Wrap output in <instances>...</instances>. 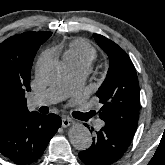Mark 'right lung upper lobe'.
Returning <instances> with one entry per match:
<instances>
[{
    "label": "right lung upper lobe",
    "mask_w": 165,
    "mask_h": 165,
    "mask_svg": "<svg viewBox=\"0 0 165 165\" xmlns=\"http://www.w3.org/2000/svg\"><path fill=\"white\" fill-rule=\"evenodd\" d=\"M51 34L26 32L0 44V129L31 114L25 98L30 91L31 67L40 45Z\"/></svg>",
    "instance_id": "cb5924a9"
}]
</instances>
